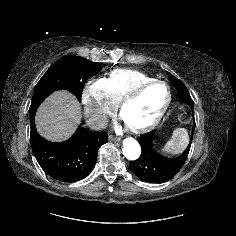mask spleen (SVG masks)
<instances>
[{
	"instance_id": "spleen-1",
	"label": "spleen",
	"mask_w": 236,
	"mask_h": 236,
	"mask_svg": "<svg viewBox=\"0 0 236 236\" xmlns=\"http://www.w3.org/2000/svg\"><path fill=\"white\" fill-rule=\"evenodd\" d=\"M189 143V135L185 128H177L173 131L171 139L161 149L162 153L177 155L185 150Z\"/></svg>"
}]
</instances>
